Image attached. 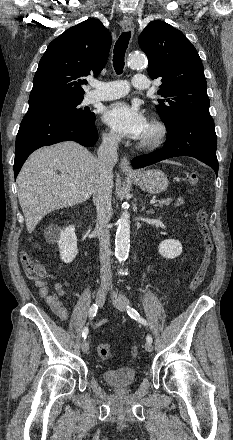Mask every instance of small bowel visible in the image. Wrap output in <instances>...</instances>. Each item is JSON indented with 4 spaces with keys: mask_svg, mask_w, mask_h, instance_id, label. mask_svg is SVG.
Here are the masks:
<instances>
[{
    "mask_svg": "<svg viewBox=\"0 0 233 440\" xmlns=\"http://www.w3.org/2000/svg\"><path fill=\"white\" fill-rule=\"evenodd\" d=\"M183 203V199L179 197L177 199V204ZM39 288V295L45 300L49 305L53 313L63 321L68 319V311L65 306V292L62 283L56 282L52 287L46 282L36 283ZM107 320L100 319L95 326H100L104 324Z\"/></svg>",
    "mask_w": 233,
    "mask_h": 440,
    "instance_id": "small-bowel-1",
    "label": "small bowel"
}]
</instances>
